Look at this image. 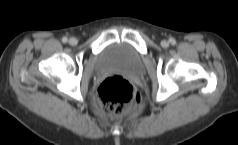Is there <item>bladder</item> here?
<instances>
[{
	"label": "bladder",
	"mask_w": 238,
	"mask_h": 145,
	"mask_svg": "<svg viewBox=\"0 0 238 145\" xmlns=\"http://www.w3.org/2000/svg\"><path fill=\"white\" fill-rule=\"evenodd\" d=\"M95 68L99 72L116 71L139 76L144 72L141 54L131 45L115 42L106 45L97 55Z\"/></svg>",
	"instance_id": "bladder-1"
}]
</instances>
